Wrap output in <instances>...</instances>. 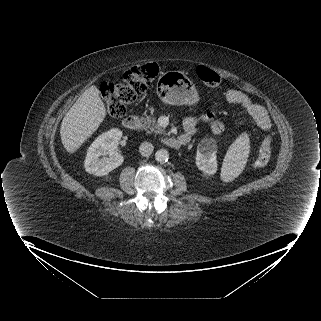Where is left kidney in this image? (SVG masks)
Here are the masks:
<instances>
[{
	"mask_svg": "<svg viewBox=\"0 0 321 321\" xmlns=\"http://www.w3.org/2000/svg\"><path fill=\"white\" fill-rule=\"evenodd\" d=\"M217 148L213 140H206L197 147L196 166L203 173L214 175L217 171ZM243 166L242 170L244 169ZM241 170V171H242ZM241 173V172H240Z\"/></svg>",
	"mask_w": 321,
	"mask_h": 321,
	"instance_id": "obj_1",
	"label": "left kidney"
}]
</instances>
